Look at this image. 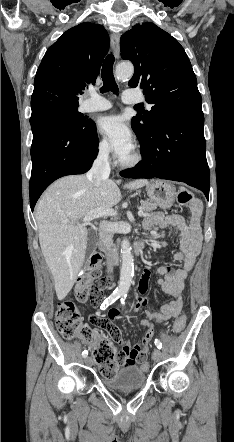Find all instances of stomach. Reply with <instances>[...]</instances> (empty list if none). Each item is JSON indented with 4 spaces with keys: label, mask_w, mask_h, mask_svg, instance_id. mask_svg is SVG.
I'll use <instances>...</instances> for the list:
<instances>
[{
    "label": "stomach",
    "mask_w": 234,
    "mask_h": 442,
    "mask_svg": "<svg viewBox=\"0 0 234 442\" xmlns=\"http://www.w3.org/2000/svg\"><path fill=\"white\" fill-rule=\"evenodd\" d=\"M147 193L150 200L162 209L170 208L176 199L175 187L165 181L152 180L147 184Z\"/></svg>",
    "instance_id": "obj_1"
}]
</instances>
